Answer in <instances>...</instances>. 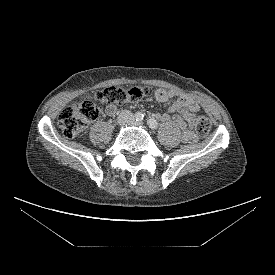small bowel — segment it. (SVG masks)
<instances>
[{
    "instance_id": "c3829d8e",
    "label": "small bowel",
    "mask_w": 275,
    "mask_h": 275,
    "mask_svg": "<svg viewBox=\"0 0 275 275\" xmlns=\"http://www.w3.org/2000/svg\"><path fill=\"white\" fill-rule=\"evenodd\" d=\"M155 99L160 103H167L174 100L169 111L173 114V120L181 129V138L186 143H194L197 140L192 128L195 124V114L199 109L197 102L190 96L175 90L158 89L155 93ZM118 111L115 104H109L105 108L108 116H114ZM167 116H163L166 120Z\"/></svg>"
}]
</instances>
